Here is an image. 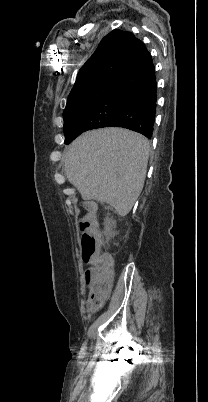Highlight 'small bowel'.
I'll list each match as a JSON object with an SVG mask.
<instances>
[{
	"mask_svg": "<svg viewBox=\"0 0 208 402\" xmlns=\"http://www.w3.org/2000/svg\"><path fill=\"white\" fill-rule=\"evenodd\" d=\"M99 256H104L102 254H99ZM97 297H99L101 300L105 301L108 299L109 295H96Z\"/></svg>",
	"mask_w": 208,
	"mask_h": 402,
	"instance_id": "c3829d8e",
	"label": "small bowel"
}]
</instances>
